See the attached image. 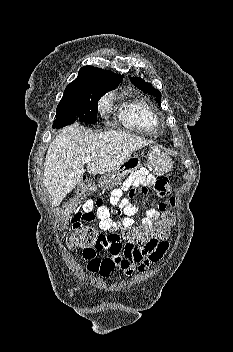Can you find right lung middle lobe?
Returning <instances> with one entry per match:
<instances>
[{
  "label": "right lung middle lobe",
  "instance_id": "1",
  "mask_svg": "<svg viewBox=\"0 0 233 352\" xmlns=\"http://www.w3.org/2000/svg\"><path fill=\"white\" fill-rule=\"evenodd\" d=\"M107 91L110 90L99 86H90L73 94L63 95L57 106L56 119L52 127L60 129L75 121L95 123L97 102Z\"/></svg>",
  "mask_w": 233,
  "mask_h": 352
}]
</instances>
